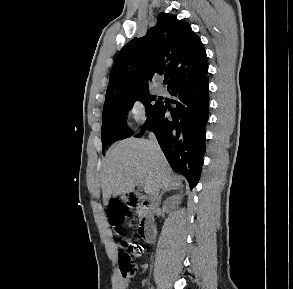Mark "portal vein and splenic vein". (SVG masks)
<instances>
[{"label": "portal vein and splenic vein", "instance_id": "portal-vein-and-splenic-vein-1", "mask_svg": "<svg viewBox=\"0 0 293 289\" xmlns=\"http://www.w3.org/2000/svg\"><path fill=\"white\" fill-rule=\"evenodd\" d=\"M137 184H139V185H140V182H138V181H137ZM140 186H141V185H140Z\"/></svg>", "mask_w": 293, "mask_h": 289}]
</instances>
